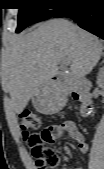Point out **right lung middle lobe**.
Returning a JSON list of instances; mask_svg holds the SVG:
<instances>
[{
    "instance_id": "right-lung-middle-lobe-1",
    "label": "right lung middle lobe",
    "mask_w": 104,
    "mask_h": 169,
    "mask_svg": "<svg viewBox=\"0 0 104 169\" xmlns=\"http://www.w3.org/2000/svg\"><path fill=\"white\" fill-rule=\"evenodd\" d=\"M19 5L18 26L19 33L32 23L53 17L63 7L76 0H16ZM53 9V10H49Z\"/></svg>"
}]
</instances>
